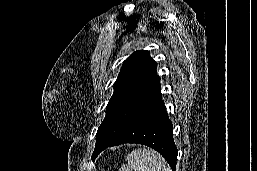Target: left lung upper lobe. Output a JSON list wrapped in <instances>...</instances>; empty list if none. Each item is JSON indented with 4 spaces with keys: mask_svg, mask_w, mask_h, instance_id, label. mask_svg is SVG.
Segmentation results:
<instances>
[{
    "mask_svg": "<svg viewBox=\"0 0 257 171\" xmlns=\"http://www.w3.org/2000/svg\"><path fill=\"white\" fill-rule=\"evenodd\" d=\"M159 91L156 62L149 52L139 50L132 53L114 83L106 116L96 134L95 149L120 134Z\"/></svg>",
    "mask_w": 257,
    "mask_h": 171,
    "instance_id": "1",
    "label": "left lung upper lobe"
}]
</instances>
